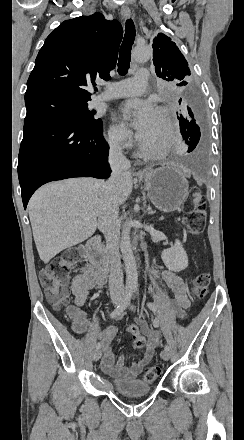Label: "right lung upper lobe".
<instances>
[{"instance_id":"obj_1","label":"right lung upper lobe","mask_w":244,"mask_h":440,"mask_svg":"<svg viewBox=\"0 0 244 440\" xmlns=\"http://www.w3.org/2000/svg\"><path fill=\"white\" fill-rule=\"evenodd\" d=\"M122 36L121 24L98 12L64 21L40 49L25 99L43 95L90 98L97 91L95 78H110Z\"/></svg>"}]
</instances>
